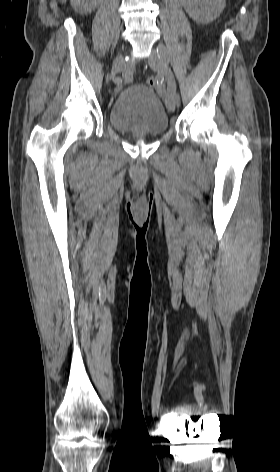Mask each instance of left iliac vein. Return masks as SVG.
I'll use <instances>...</instances> for the list:
<instances>
[{
  "instance_id": "1",
  "label": "left iliac vein",
  "mask_w": 280,
  "mask_h": 472,
  "mask_svg": "<svg viewBox=\"0 0 280 472\" xmlns=\"http://www.w3.org/2000/svg\"><path fill=\"white\" fill-rule=\"evenodd\" d=\"M165 52V48L163 45H159L157 49H153L152 53L148 59L149 65L158 70L159 72L163 73L167 83H168V92L166 95V106L169 111H174L177 103V96H176V81L173 75V72L166 64L163 55Z\"/></svg>"
}]
</instances>
